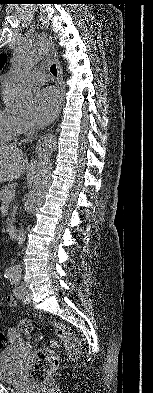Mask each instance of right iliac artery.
<instances>
[{
    "label": "right iliac artery",
    "instance_id": "right-iliac-artery-1",
    "mask_svg": "<svg viewBox=\"0 0 153 393\" xmlns=\"http://www.w3.org/2000/svg\"><path fill=\"white\" fill-rule=\"evenodd\" d=\"M10 273H11L10 271H6L4 276L10 275Z\"/></svg>",
    "mask_w": 153,
    "mask_h": 393
}]
</instances>
